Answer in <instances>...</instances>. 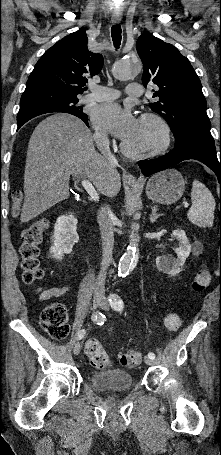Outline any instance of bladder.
I'll return each mask as SVG.
<instances>
[{
	"instance_id": "1",
	"label": "bladder",
	"mask_w": 221,
	"mask_h": 455,
	"mask_svg": "<svg viewBox=\"0 0 221 455\" xmlns=\"http://www.w3.org/2000/svg\"><path fill=\"white\" fill-rule=\"evenodd\" d=\"M89 385L101 392H118L133 388L134 381L130 373L121 369H109L92 372Z\"/></svg>"
}]
</instances>
